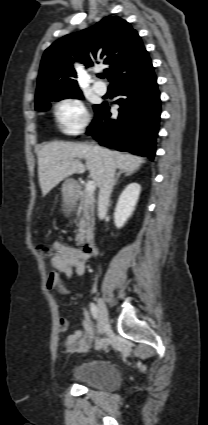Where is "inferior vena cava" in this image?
<instances>
[{
  "label": "inferior vena cava",
  "instance_id": "inferior-vena-cava-1",
  "mask_svg": "<svg viewBox=\"0 0 208 425\" xmlns=\"http://www.w3.org/2000/svg\"><path fill=\"white\" fill-rule=\"evenodd\" d=\"M94 149L99 151L98 146H94ZM115 172L116 165L110 156H107L102 182L100 185L99 197H98V211L101 212L108 207L110 196L115 183Z\"/></svg>",
  "mask_w": 208,
  "mask_h": 425
}]
</instances>
